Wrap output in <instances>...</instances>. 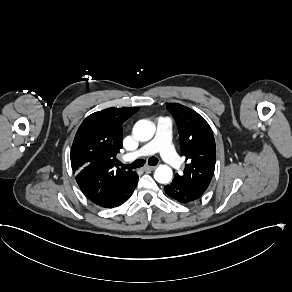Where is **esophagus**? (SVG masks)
Listing matches in <instances>:
<instances>
[{"label":"esophagus","instance_id":"34e87169","mask_svg":"<svg viewBox=\"0 0 292 292\" xmlns=\"http://www.w3.org/2000/svg\"><path fill=\"white\" fill-rule=\"evenodd\" d=\"M156 168V166H144L142 169L145 172L153 171Z\"/></svg>","mask_w":292,"mask_h":292}]
</instances>
